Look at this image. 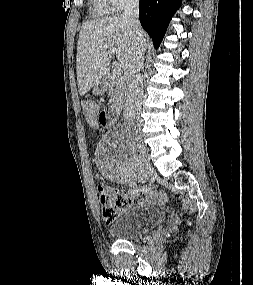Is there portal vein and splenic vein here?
<instances>
[{
	"label": "portal vein and splenic vein",
	"instance_id": "obj_1",
	"mask_svg": "<svg viewBox=\"0 0 253 285\" xmlns=\"http://www.w3.org/2000/svg\"><path fill=\"white\" fill-rule=\"evenodd\" d=\"M110 51H111V54H114L116 51L115 47L111 46ZM120 76H121V66L118 63H114L112 65V76H111V78L113 80H118L120 78Z\"/></svg>",
	"mask_w": 253,
	"mask_h": 285
}]
</instances>
